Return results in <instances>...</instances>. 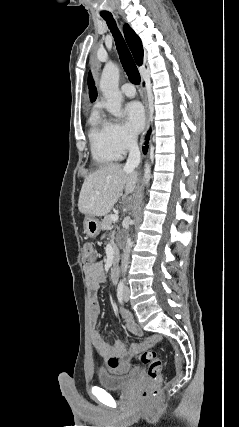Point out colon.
Segmentation results:
<instances>
[{"label":"colon","instance_id":"obj_1","mask_svg":"<svg viewBox=\"0 0 239 427\" xmlns=\"http://www.w3.org/2000/svg\"><path fill=\"white\" fill-rule=\"evenodd\" d=\"M83 263L86 266L93 265L97 259V254L94 246L91 243H86L82 248ZM139 360L147 366L149 376V384L143 390L142 397L148 400L155 396L160 388L163 380V363L158 354L153 350H146L138 355Z\"/></svg>","mask_w":239,"mask_h":427}]
</instances>
